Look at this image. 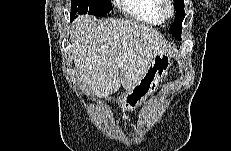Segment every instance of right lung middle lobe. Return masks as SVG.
Here are the masks:
<instances>
[{
    "instance_id": "obj_1",
    "label": "right lung middle lobe",
    "mask_w": 231,
    "mask_h": 151,
    "mask_svg": "<svg viewBox=\"0 0 231 151\" xmlns=\"http://www.w3.org/2000/svg\"><path fill=\"white\" fill-rule=\"evenodd\" d=\"M111 11L110 0H72L70 17L73 19L76 13L106 16Z\"/></svg>"
}]
</instances>
